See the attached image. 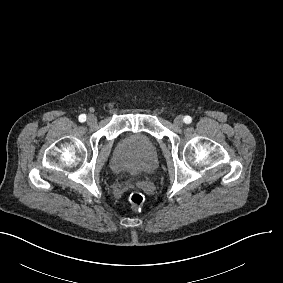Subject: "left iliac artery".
<instances>
[{
  "mask_svg": "<svg viewBox=\"0 0 283 283\" xmlns=\"http://www.w3.org/2000/svg\"><path fill=\"white\" fill-rule=\"evenodd\" d=\"M184 122H185L186 124H190V123L192 122V118H191L190 116H185V117H184Z\"/></svg>",
  "mask_w": 283,
  "mask_h": 283,
  "instance_id": "left-iliac-artery-1",
  "label": "left iliac artery"
}]
</instances>
